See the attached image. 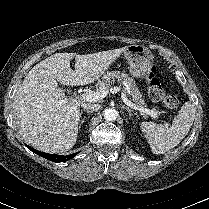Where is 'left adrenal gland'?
Listing matches in <instances>:
<instances>
[{
    "mask_svg": "<svg viewBox=\"0 0 209 209\" xmlns=\"http://www.w3.org/2000/svg\"><path fill=\"white\" fill-rule=\"evenodd\" d=\"M123 109H126L128 111V113H129L130 116L133 115V110L130 109L129 107L123 105Z\"/></svg>",
    "mask_w": 209,
    "mask_h": 209,
    "instance_id": "obj_1",
    "label": "left adrenal gland"
}]
</instances>
